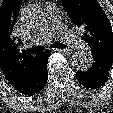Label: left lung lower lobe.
Wrapping results in <instances>:
<instances>
[{
    "mask_svg": "<svg viewBox=\"0 0 113 113\" xmlns=\"http://www.w3.org/2000/svg\"><path fill=\"white\" fill-rule=\"evenodd\" d=\"M93 59L92 67L88 71L76 72V79L87 88L97 89L107 82L113 58L97 53L93 54Z\"/></svg>",
    "mask_w": 113,
    "mask_h": 113,
    "instance_id": "1",
    "label": "left lung lower lobe"
}]
</instances>
